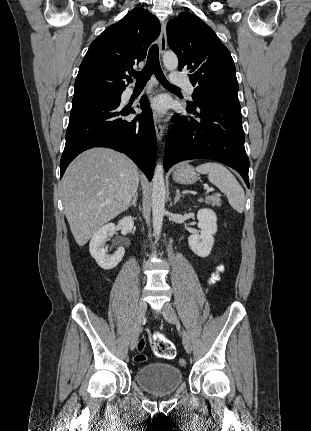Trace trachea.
Returning <instances> with one entry per match:
<instances>
[{
    "instance_id": "trachea-1",
    "label": "trachea",
    "mask_w": 311,
    "mask_h": 431,
    "mask_svg": "<svg viewBox=\"0 0 311 431\" xmlns=\"http://www.w3.org/2000/svg\"><path fill=\"white\" fill-rule=\"evenodd\" d=\"M155 75L158 82H160L163 86L168 88H177L174 85H171V83L168 82V80L165 78V75L161 69L160 63H159V49L158 46L152 45L148 52V58L146 61V65L141 70V72H132L131 76L133 78H136L137 84H146L148 80H150L151 76Z\"/></svg>"
}]
</instances>
